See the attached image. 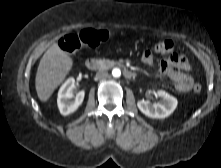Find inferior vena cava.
<instances>
[{
	"instance_id": "1",
	"label": "inferior vena cava",
	"mask_w": 221,
	"mask_h": 168,
	"mask_svg": "<svg viewBox=\"0 0 221 168\" xmlns=\"http://www.w3.org/2000/svg\"><path fill=\"white\" fill-rule=\"evenodd\" d=\"M108 72L106 70H99L97 73H96V79L97 80H104L106 78H108Z\"/></svg>"
}]
</instances>
